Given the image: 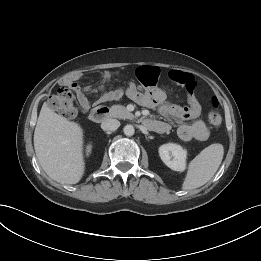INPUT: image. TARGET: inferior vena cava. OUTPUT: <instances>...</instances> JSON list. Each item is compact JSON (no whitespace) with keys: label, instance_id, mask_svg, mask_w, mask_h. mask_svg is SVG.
Returning a JSON list of instances; mask_svg holds the SVG:
<instances>
[{"label":"inferior vena cava","instance_id":"602c4592","mask_svg":"<svg viewBox=\"0 0 261 261\" xmlns=\"http://www.w3.org/2000/svg\"><path fill=\"white\" fill-rule=\"evenodd\" d=\"M120 126V122L117 119L108 118L101 124V128L104 131H115Z\"/></svg>","mask_w":261,"mask_h":261}]
</instances>
